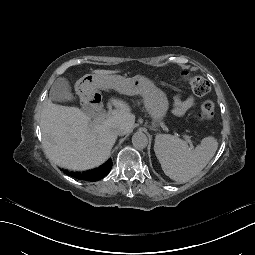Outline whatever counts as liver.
Wrapping results in <instances>:
<instances>
[{"mask_svg": "<svg viewBox=\"0 0 255 255\" xmlns=\"http://www.w3.org/2000/svg\"><path fill=\"white\" fill-rule=\"evenodd\" d=\"M118 71L94 70L109 88L120 91ZM152 94L167 102L164 92L152 85ZM115 106L111 115L101 123H90V118L76 107L56 105L47 100L41 112L42 145L46 156L60 167L75 171L92 169L103 164L110 156L117 139L113 126L122 124L129 132L135 116L127 103L112 98Z\"/></svg>", "mask_w": 255, "mask_h": 255, "instance_id": "1", "label": "liver"}]
</instances>
